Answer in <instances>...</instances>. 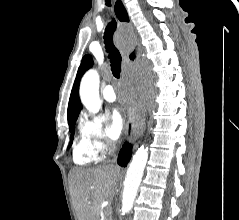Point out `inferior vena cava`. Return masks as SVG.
<instances>
[{
    "mask_svg": "<svg viewBox=\"0 0 239 220\" xmlns=\"http://www.w3.org/2000/svg\"><path fill=\"white\" fill-rule=\"evenodd\" d=\"M115 149H116L115 143L108 141L106 144V150L108 151V153L109 154L114 153Z\"/></svg>",
    "mask_w": 239,
    "mask_h": 220,
    "instance_id": "inferior-vena-cava-1",
    "label": "inferior vena cava"
}]
</instances>
